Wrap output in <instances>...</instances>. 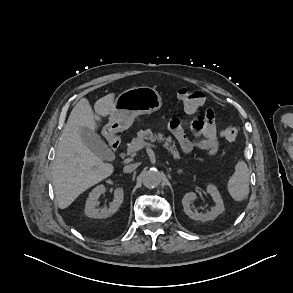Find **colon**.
I'll use <instances>...</instances> for the list:
<instances>
[{
	"label": "colon",
	"mask_w": 293,
	"mask_h": 293,
	"mask_svg": "<svg viewBox=\"0 0 293 293\" xmlns=\"http://www.w3.org/2000/svg\"><path fill=\"white\" fill-rule=\"evenodd\" d=\"M179 102L183 105L184 109L190 114H197L205 103L203 93L192 91L188 89H180L177 94ZM240 129L237 125L231 124L227 126L223 132L222 137L226 141H234L239 135Z\"/></svg>",
	"instance_id": "obj_1"
}]
</instances>
